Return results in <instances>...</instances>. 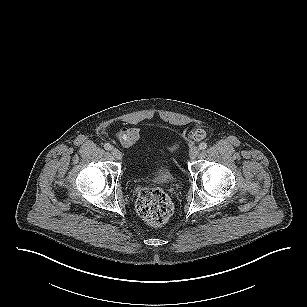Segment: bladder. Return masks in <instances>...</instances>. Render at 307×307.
<instances>
[{
    "label": "bladder",
    "mask_w": 307,
    "mask_h": 307,
    "mask_svg": "<svg viewBox=\"0 0 307 307\" xmlns=\"http://www.w3.org/2000/svg\"><path fill=\"white\" fill-rule=\"evenodd\" d=\"M166 174H167L166 170H165L164 168H161V169H159V170L157 171V173H156L155 176L158 178V177L164 176V175H166Z\"/></svg>",
    "instance_id": "31cf9c89"
}]
</instances>
